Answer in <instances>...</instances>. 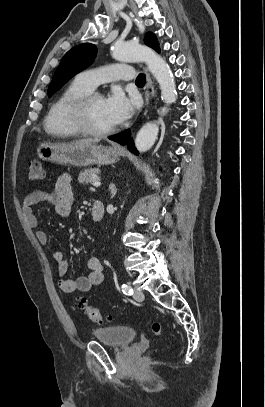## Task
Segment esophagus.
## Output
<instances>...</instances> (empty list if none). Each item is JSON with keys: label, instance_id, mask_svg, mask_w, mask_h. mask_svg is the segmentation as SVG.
Segmentation results:
<instances>
[{"label": "esophagus", "instance_id": "obj_1", "mask_svg": "<svg viewBox=\"0 0 265 407\" xmlns=\"http://www.w3.org/2000/svg\"><path fill=\"white\" fill-rule=\"evenodd\" d=\"M144 71H145V75H146V85H145L146 109L144 111V115H146L150 108L152 97H153V82H152L150 73L146 66H144Z\"/></svg>", "mask_w": 265, "mask_h": 407}]
</instances>
